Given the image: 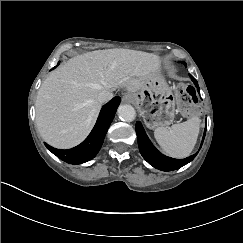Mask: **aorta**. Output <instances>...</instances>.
Instances as JSON below:
<instances>
[{"mask_svg": "<svg viewBox=\"0 0 243 243\" xmlns=\"http://www.w3.org/2000/svg\"><path fill=\"white\" fill-rule=\"evenodd\" d=\"M117 115L125 122H133L136 119V110L128 104H121L117 108Z\"/></svg>", "mask_w": 243, "mask_h": 243, "instance_id": "aorta-1", "label": "aorta"}]
</instances>
